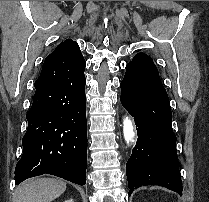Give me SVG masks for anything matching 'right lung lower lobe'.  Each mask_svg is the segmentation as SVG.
Listing matches in <instances>:
<instances>
[{"mask_svg":"<svg viewBox=\"0 0 209 202\" xmlns=\"http://www.w3.org/2000/svg\"><path fill=\"white\" fill-rule=\"evenodd\" d=\"M62 60L46 58L34 83L23 154L15 169L16 184L44 173L79 185L86 183V79L56 70Z\"/></svg>","mask_w":209,"mask_h":202,"instance_id":"right-lung-lower-lobe-1","label":"right lung lower lobe"}]
</instances>
